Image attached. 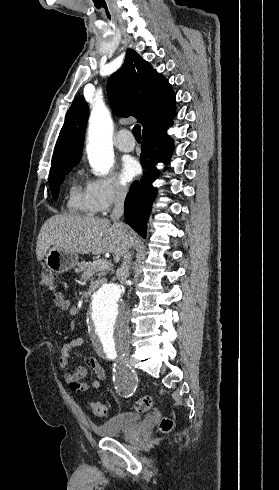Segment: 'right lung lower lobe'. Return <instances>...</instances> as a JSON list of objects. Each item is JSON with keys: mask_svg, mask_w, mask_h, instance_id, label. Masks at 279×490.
Segmentation results:
<instances>
[{"mask_svg": "<svg viewBox=\"0 0 279 490\" xmlns=\"http://www.w3.org/2000/svg\"><path fill=\"white\" fill-rule=\"evenodd\" d=\"M168 126L143 135L140 155L143 177L140 181L133 182L125 200V220L143 237L146 236V223L157 193L152 186L153 180L159 175L155 163H168L172 153L173 140L166 134Z\"/></svg>", "mask_w": 279, "mask_h": 490, "instance_id": "obj_1", "label": "right lung lower lobe"}]
</instances>
